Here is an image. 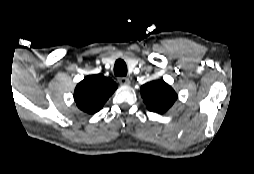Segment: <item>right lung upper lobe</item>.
Listing matches in <instances>:
<instances>
[{"label": "right lung upper lobe", "mask_w": 254, "mask_h": 174, "mask_svg": "<svg viewBox=\"0 0 254 174\" xmlns=\"http://www.w3.org/2000/svg\"><path fill=\"white\" fill-rule=\"evenodd\" d=\"M117 87L111 78L102 74L89 75L77 84L74 100L80 110L93 114L103 107Z\"/></svg>", "instance_id": "1"}]
</instances>
